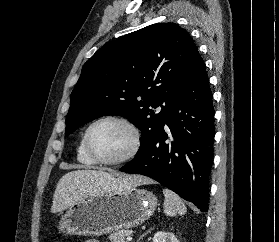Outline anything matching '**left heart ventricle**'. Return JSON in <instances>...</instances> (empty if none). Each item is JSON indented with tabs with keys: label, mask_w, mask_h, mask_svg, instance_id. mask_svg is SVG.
I'll return each instance as SVG.
<instances>
[{
	"label": "left heart ventricle",
	"mask_w": 279,
	"mask_h": 242,
	"mask_svg": "<svg viewBox=\"0 0 279 242\" xmlns=\"http://www.w3.org/2000/svg\"><path fill=\"white\" fill-rule=\"evenodd\" d=\"M132 143L130 131L116 122L98 124L91 132L92 151L102 159H116L127 153Z\"/></svg>",
	"instance_id": "1"
}]
</instances>
